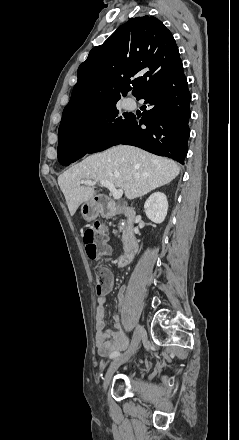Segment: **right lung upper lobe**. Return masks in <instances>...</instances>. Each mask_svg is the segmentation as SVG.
Wrapping results in <instances>:
<instances>
[{
    "label": "right lung upper lobe",
    "instance_id": "right-lung-upper-lobe-1",
    "mask_svg": "<svg viewBox=\"0 0 239 440\" xmlns=\"http://www.w3.org/2000/svg\"><path fill=\"white\" fill-rule=\"evenodd\" d=\"M179 61L175 40L160 20L148 15L130 19L79 66L61 123L98 110L131 89L138 97Z\"/></svg>",
    "mask_w": 239,
    "mask_h": 440
}]
</instances>
